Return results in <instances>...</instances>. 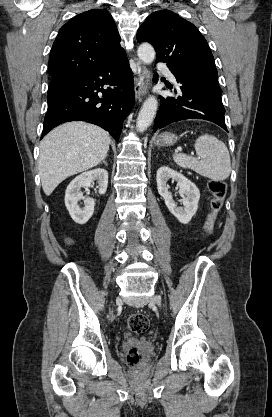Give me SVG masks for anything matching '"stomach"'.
<instances>
[{"label": "stomach", "mask_w": 272, "mask_h": 417, "mask_svg": "<svg viewBox=\"0 0 272 417\" xmlns=\"http://www.w3.org/2000/svg\"><path fill=\"white\" fill-rule=\"evenodd\" d=\"M178 140V137L170 132H165L160 134L157 138H156V145L159 147H166V146H171L174 143H176V141Z\"/></svg>", "instance_id": "stomach-1"}]
</instances>
